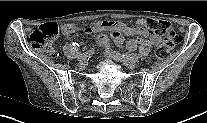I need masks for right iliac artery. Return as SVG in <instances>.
Listing matches in <instances>:
<instances>
[{"mask_svg": "<svg viewBox=\"0 0 207 123\" xmlns=\"http://www.w3.org/2000/svg\"><path fill=\"white\" fill-rule=\"evenodd\" d=\"M94 49H92V50H89V51H86L85 53H83V54H80L79 56H78V60H87V59H89L91 56H92V54H94Z\"/></svg>", "mask_w": 207, "mask_h": 123, "instance_id": "82829eb1", "label": "right iliac artery"}]
</instances>
